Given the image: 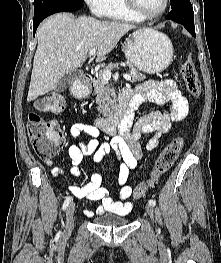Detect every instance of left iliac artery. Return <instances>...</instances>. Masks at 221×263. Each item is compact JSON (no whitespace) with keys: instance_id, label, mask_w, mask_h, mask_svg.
Listing matches in <instances>:
<instances>
[{"instance_id":"1","label":"left iliac artery","mask_w":221,"mask_h":263,"mask_svg":"<svg viewBox=\"0 0 221 263\" xmlns=\"http://www.w3.org/2000/svg\"><path fill=\"white\" fill-rule=\"evenodd\" d=\"M149 204L152 205V206H155L156 202H155V200L151 199V200H149Z\"/></svg>"}]
</instances>
